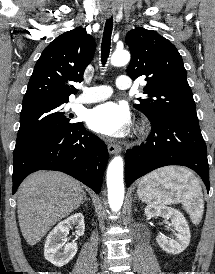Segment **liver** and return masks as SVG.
Listing matches in <instances>:
<instances>
[{
  "label": "liver",
  "instance_id": "obj_1",
  "mask_svg": "<svg viewBox=\"0 0 215 274\" xmlns=\"http://www.w3.org/2000/svg\"><path fill=\"white\" fill-rule=\"evenodd\" d=\"M80 183L56 171H38L20 185L17 213L21 233L29 245L38 243L58 221L84 199Z\"/></svg>",
  "mask_w": 215,
  "mask_h": 274
}]
</instances>
